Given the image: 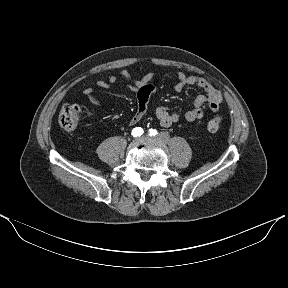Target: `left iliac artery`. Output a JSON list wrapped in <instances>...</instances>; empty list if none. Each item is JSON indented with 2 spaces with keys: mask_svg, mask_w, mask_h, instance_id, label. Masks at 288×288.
I'll list each match as a JSON object with an SVG mask.
<instances>
[{
  "mask_svg": "<svg viewBox=\"0 0 288 288\" xmlns=\"http://www.w3.org/2000/svg\"><path fill=\"white\" fill-rule=\"evenodd\" d=\"M156 132H157V130H155V129H150V130H149V135H150V136H155Z\"/></svg>",
  "mask_w": 288,
  "mask_h": 288,
  "instance_id": "44dca946",
  "label": "left iliac artery"
}]
</instances>
